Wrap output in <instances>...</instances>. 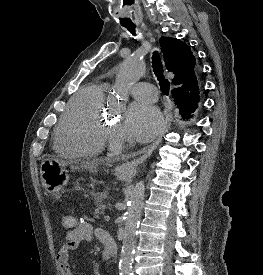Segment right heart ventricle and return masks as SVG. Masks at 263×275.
<instances>
[{"label":"right heart ventricle","mask_w":263,"mask_h":275,"mask_svg":"<svg viewBox=\"0 0 263 275\" xmlns=\"http://www.w3.org/2000/svg\"><path fill=\"white\" fill-rule=\"evenodd\" d=\"M106 87L89 84L68 102L54 135L55 150L69 158L99 155L105 139L97 131L102 116Z\"/></svg>","instance_id":"right-heart-ventricle-1"}]
</instances>
